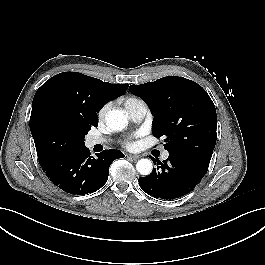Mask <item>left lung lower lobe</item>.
<instances>
[{"mask_svg":"<svg viewBox=\"0 0 265 265\" xmlns=\"http://www.w3.org/2000/svg\"><path fill=\"white\" fill-rule=\"evenodd\" d=\"M151 159L156 164L155 159ZM157 164L150 175L139 178V185L147 194L167 200L190 192L208 170L192 160L171 156L163 162L157 161Z\"/></svg>","mask_w":265,"mask_h":265,"instance_id":"0a47b994","label":"left lung lower lobe"}]
</instances>
